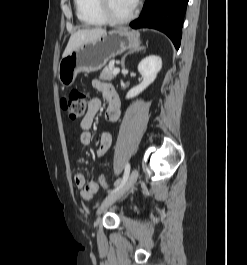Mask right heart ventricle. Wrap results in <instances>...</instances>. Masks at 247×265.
<instances>
[{"label": "right heart ventricle", "instance_id": "1", "mask_svg": "<svg viewBox=\"0 0 247 265\" xmlns=\"http://www.w3.org/2000/svg\"><path fill=\"white\" fill-rule=\"evenodd\" d=\"M79 20L87 26L105 25L107 21L98 9V0H74Z\"/></svg>", "mask_w": 247, "mask_h": 265}]
</instances>
